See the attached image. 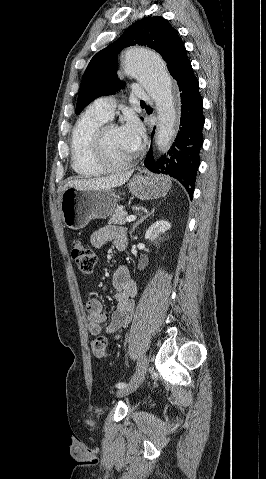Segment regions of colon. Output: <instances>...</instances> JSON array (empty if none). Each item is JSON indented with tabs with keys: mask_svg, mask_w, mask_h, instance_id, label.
I'll return each instance as SVG.
<instances>
[{
	"mask_svg": "<svg viewBox=\"0 0 266 479\" xmlns=\"http://www.w3.org/2000/svg\"><path fill=\"white\" fill-rule=\"evenodd\" d=\"M72 259L83 275L92 273L96 264V256L91 248L80 240H74L71 244ZM107 340L103 336L97 337L91 344L92 352L96 357H104L106 353Z\"/></svg>",
	"mask_w": 266,
	"mask_h": 479,
	"instance_id": "obj_1",
	"label": "colon"
}]
</instances>
